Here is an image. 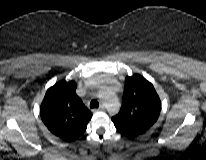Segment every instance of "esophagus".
Returning <instances> with one entry per match:
<instances>
[{"instance_id":"obj_1","label":"esophagus","mask_w":206,"mask_h":160,"mask_svg":"<svg viewBox=\"0 0 206 160\" xmlns=\"http://www.w3.org/2000/svg\"><path fill=\"white\" fill-rule=\"evenodd\" d=\"M104 110H105V106L103 104H101L98 109H95V111H104Z\"/></svg>"}]
</instances>
